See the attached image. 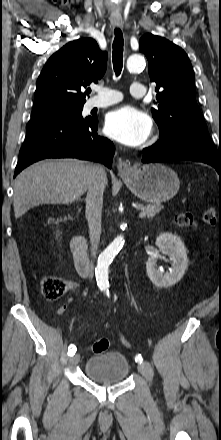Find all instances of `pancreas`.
<instances>
[{
	"mask_svg": "<svg viewBox=\"0 0 221 440\" xmlns=\"http://www.w3.org/2000/svg\"><path fill=\"white\" fill-rule=\"evenodd\" d=\"M138 208L143 211L145 213V217L147 218H152L154 217L157 213H159L161 211V209L163 208V206L159 203H155L152 205H143L140 204L138 206Z\"/></svg>",
	"mask_w": 221,
	"mask_h": 440,
	"instance_id": "1",
	"label": "pancreas"
}]
</instances>
